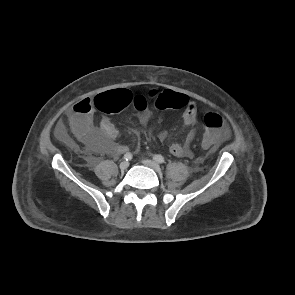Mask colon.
Returning a JSON list of instances; mask_svg holds the SVG:
<instances>
[{
	"label": "colon",
	"instance_id": "5ec220e1",
	"mask_svg": "<svg viewBox=\"0 0 295 295\" xmlns=\"http://www.w3.org/2000/svg\"><path fill=\"white\" fill-rule=\"evenodd\" d=\"M152 101L154 106L160 110L181 109L188 102V97L182 93L170 90H151L147 95H133L125 88L110 90L97 95L91 101H84L78 105V109L87 112L91 108L104 113H116L129 105H133L138 111H145ZM75 124V123H74ZM205 132L202 138L204 147H211L226 134L225 119L214 112H209L204 117Z\"/></svg>",
	"mask_w": 295,
	"mask_h": 295
}]
</instances>
